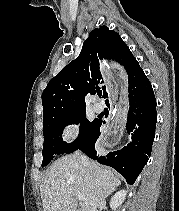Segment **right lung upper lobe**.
<instances>
[{
	"label": "right lung upper lobe",
	"instance_id": "obj_1",
	"mask_svg": "<svg viewBox=\"0 0 179 211\" xmlns=\"http://www.w3.org/2000/svg\"><path fill=\"white\" fill-rule=\"evenodd\" d=\"M115 61L124 67L130 81L141 70L119 34L106 26L92 30L79 56L50 80L42 93L43 123L85 110V96L93 94L107 78L106 66ZM103 98L107 101L106 87Z\"/></svg>",
	"mask_w": 179,
	"mask_h": 211
}]
</instances>
